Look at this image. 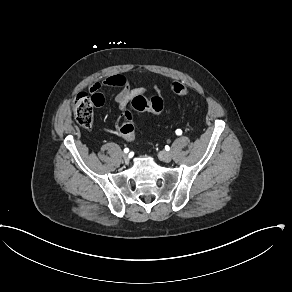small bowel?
<instances>
[{"mask_svg": "<svg viewBox=\"0 0 292 292\" xmlns=\"http://www.w3.org/2000/svg\"><path fill=\"white\" fill-rule=\"evenodd\" d=\"M103 87H118L120 90L115 96V102L119 108L114 120L113 125L115 128L109 127L106 124H102L100 129L103 132H108L109 134H113L116 136H120L122 134L121 128V120L124 117L125 107L129 103V101L135 97L136 95H140L145 92V88L137 87L131 88L129 85L128 79L123 75H113L108 78L103 79L102 81L96 82L90 86V91L95 92L100 90ZM155 91L158 95H162V90L159 87H155Z\"/></svg>", "mask_w": 292, "mask_h": 292, "instance_id": "1", "label": "small bowel"}]
</instances>
